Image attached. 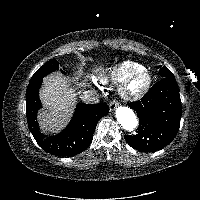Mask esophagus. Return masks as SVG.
Returning <instances> with one entry per match:
<instances>
[{
    "label": "esophagus",
    "instance_id": "34e87169",
    "mask_svg": "<svg viewBox=\"0 0 200 200\" xmlns=\"http://www.w3.org/2000/svg\"><path fill=\"white\" fill-rule=\"evenodd\" d=\"M118 106V102L116 100H112L109 104L110 111H114Z\"/></svg>",
    "mask_w": 200,
    "mask_h": 200
}]
</instances>
